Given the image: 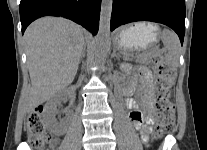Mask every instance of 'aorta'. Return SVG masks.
<instances>
[{
	"mask_svg": "<svg viewBox=\"0 0 207 150\" xmlns=\"http://www.w3.org/2000/svg\"><path fill=\"white\" fill-rule=\"evenodd\" d=\"M113 0H102L99 20V30L96 37L95 60L98 64L105 63L110 49V21Z\"/></svg>",
	"mask_w": 207,
	"mask_h": 150,
	"instance_id": "1",
	"label": "aorta"
}]
</instances>
